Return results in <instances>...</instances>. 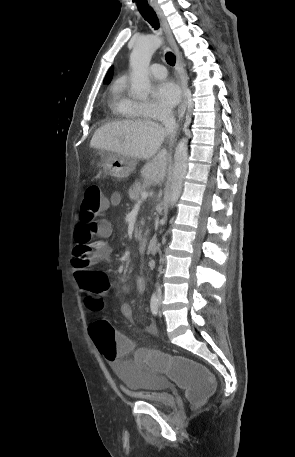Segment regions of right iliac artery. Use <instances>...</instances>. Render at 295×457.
Instances as JSON below:
<instances>
[{
  "label": "right iliac artery",
  "instance_id": "1",
  "mask_svg": "<svg viewBox=\"0 0 295 457\" xmlns=\"http://www.w3.org/2000/svg\"><path fill=\"white\" fill-rule=\"evenodd\" d=\"M150 308L153 315L158 314V298L156 295L151 297Z\"/></svg>",
  "mask_w": 295,
  "mask_h": 457
}]
</instances>
